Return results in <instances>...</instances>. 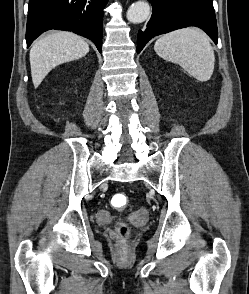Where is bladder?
I'll use <instances>...</instances> for the list:
<instances>
[{"label": "bladder", "instance_id": "bladder-1", "mask_svg": "<svg viewBox=\"0 0 249 294\" xmlns=\"http://www.w3.org/2000/svg\"><path fill=\"white\" fill-rule=\"evenodd\" d=\"M97 219L101 223H107L111 220V217L105 212H99Z\"/></svg>", "mask_w": 249, "mask_h": 294}]
</instances>
